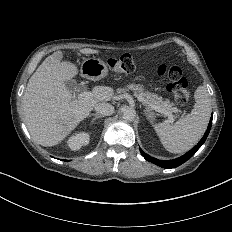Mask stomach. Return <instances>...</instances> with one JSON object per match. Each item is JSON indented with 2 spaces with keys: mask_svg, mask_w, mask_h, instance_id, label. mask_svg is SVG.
<instances>
[{
  "mask_svg": "<svg viewBox=\"0 0 232 232\" xmlns=\"http://www.w3.org/2000/svg\"><path fill=\"white\" fill-rule=\"evenodd\" d=\"M107 73V65L98 58L85 59L81 65V74L90 80H100L105 77ZM128 88L133 91L142 90V88L136 84H130Z\"/></svg>",
  "mask_w": 232,
  "mask_h": 232,
  "instance_id": "stomach-1",
  "label": "stomach"
}]
</instances>
